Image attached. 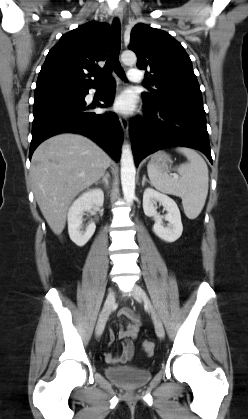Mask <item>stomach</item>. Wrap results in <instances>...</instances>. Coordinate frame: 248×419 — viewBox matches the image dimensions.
Returning <instances> with one entry per match:
<instances>
[{
  "label": "stomach",
  "instance_id": "stomach-1",
  "mask_svg": "<svg viewBox=\"0 0 248 419\" xmlns=\"http://www.w3.org/2000/svg\"><path fill=\"white\" fill-rule=\"evenodd\" d=\"M152 162L158 167H166L171 162L170 156L163 151L156 152L152 156Z\"/></svg>",
  "mask_w": 248,
  "mask_h": 419
}]
</instances>
